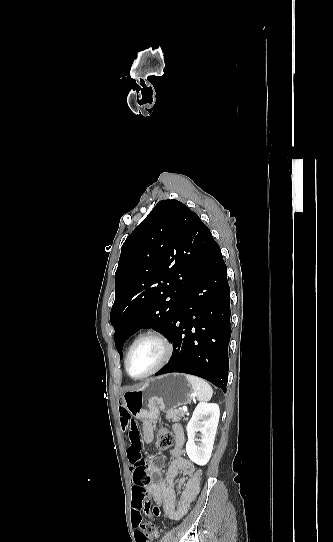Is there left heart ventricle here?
Here are the masks:
<instances>
[{"label": "left heart ventricle", "instance_id": "left-heart-ventricle-1", "mask_svg": "<svg viewBox=\"0 0 333 542\" xmlns=\"http://www.w3.org/2000/svg\"><path fill=\"white\" fill-rule=\"evenodd\" d=\"M162 357V347L155 340L139 343L130 355L128 368L134 376H141L153 369Z\"/></svg>", "mask_w": 333, "mask_h": 542}]
</instances>
